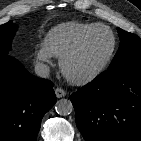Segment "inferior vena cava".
Masks as SVG:
<instances>
[{
	"mask_svg": "<svg viewBox=\"0 0 141 141\" xmlns=\"http://www.w3.org/2000/svg\"><path fill=\"white\" fill-rule=\"evenodd\" d=\"M35 73L39 77L47 78L50 74V68L48 65L41 63V62H38L35 65Z\"/></svg>",
	"mask_w": 141,
	"mask_h": 141,
	"instance_id": "obj_1",
	"label": "inferior vena cava"
}]
</instances>
